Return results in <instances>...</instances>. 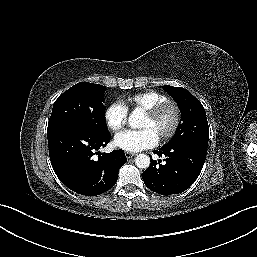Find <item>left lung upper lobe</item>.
Returning <instances> with one entry per match:
<instances>
[{
    "label": "left lung upper lobe",
    "instance_id": "5c2ea615",
    "mask_svg": "<svg viewBox=\"0 0 257 257\" xmlns=\"http://www.w3.org/2000/svg\"><path fill=\"white\" fill-rule=\"evenodd\" d=\"M163 88L173 97L181 110V122L168 147L182 144L208 146L209 127L203 105L188 90L165 85Z\"/></svg>",
    "mask_w": 257,
    "mask_h": 257
}]
</instances>
